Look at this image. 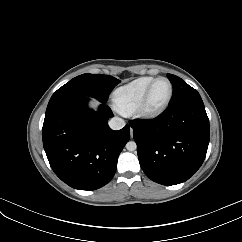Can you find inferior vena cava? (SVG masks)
<instances>
[{
    "mask_svg": "<svg viewBox=\"0 0 242 242\" xmlns=\"http://www.w3.org/2000/svg\"><path fill=\"white\" fill-rule=\"evenodd\" d=\"M125 126V121L119 117H113L109 121V127L113 130H120Z\"/></svg>",
    "mask_w": 242,
    "mask_h": 242,
    "instance_id": "602c4592",
    "label": "inferior vena cava"
}]
</instances>
